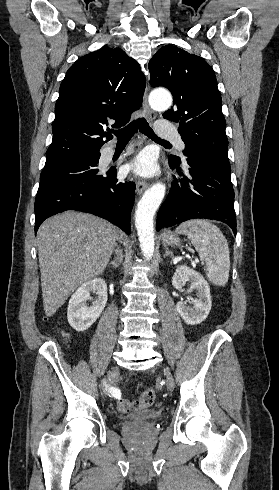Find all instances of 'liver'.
<instances>
[{
	"label": "liver",
	"mask_w": 279,
	"mask_h": 490,
	"mask_svg": "<svg viewBox=\"0 0 279 490\" xmlns=\"http://www.w3.org/2000/svg\"><path fill=\"white\" fill-rule=\"evenodd\" d=\"M122 234L92 214L63 212L40 226L36 240L45 316L51 318L72 292L103 274Z\"/></svg>",
	"instance_id": "6515ba94"
}]
</instances>
